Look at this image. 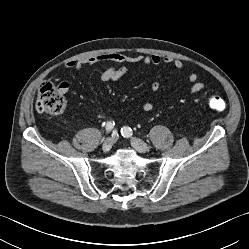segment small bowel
I'll return each mask as SVG.
<instances>
[{"label": "small bowel", "instance_id": "obj_1", "mask_svg": "<svg viewBox=\"0 0 249 249\" xmlns=\"http://www.w3.org/2000/svg\"><path fill=\"white\" fill-rule=\"evenodd\" d=\"M99 63H115L122 65L121 67H116L114 65L108 66L104 69L99 76L100 81H117L129 72L128 65L132 64H143L146 66H158L161 64L171 65L177 71H183L185 69V64L180 59H174L171 57H160L158 55H128L121 52L111 51L102 53L99 55L81 58L77 61H69L66 63L65 67L68 69H75L81 71L84 68L99 64ZM187 83L189 85L188 92L190 94H195L201 92L205 89V84L198 80V74L196 72H191L187 77ZM62 91L65 93L69 89V84L67 82L61 83ZM153 92H157L160 89V84L158 82H153L150 86ZM155 105L152 102H145L142 105V109L145 112H150L154 109Z\"/></svg>", "mask_w": 249, "mask_h": 249}]
</instances>
